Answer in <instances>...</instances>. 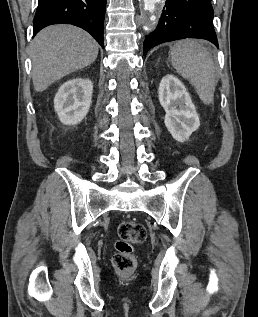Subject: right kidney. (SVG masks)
I'll list each match as a JSON object with an SVG mask.
<instances>
[{"mask_svg":"<svg viewBox=\"0 0 258 317\" xmlns=\"http://www.w3.org/2000/svg\"><path fill=\"white\" fill-rule=\"evenodd\" d=\"M93 82L89 78H71L61 84L54 98V108L63 124H78L85 118L92 102Z\"/></svg>","mask_w":258,"mask_h":317,"instance_id":"ca27d5eb","label":"right kidney"}]
</instances>
